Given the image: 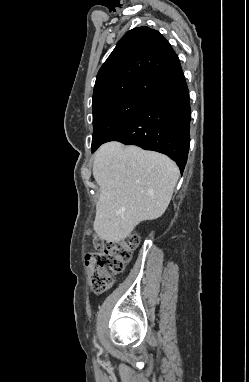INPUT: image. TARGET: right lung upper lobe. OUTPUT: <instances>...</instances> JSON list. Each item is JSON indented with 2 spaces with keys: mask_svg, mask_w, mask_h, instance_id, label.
Returning a JSON list of instances; mask_svg holds the SVG:
<instances>
[{
  "mask_svg": "<svg viewBox=\"0 0 249 382\" xmlns=\"http://www.w3.org/2000/svg\"><path fill=\"white\" fill-rule=\"evenodd\" d=\"M182 74L178 56L161 33L148 27L134 28L100 68L93 109L128 96L150 99Z\"/></svg>",
  "mask_w": 249,
  "mask_h": 382,
  "instance_id": "obj_1",
  "label": "right lung upper lobe"
}]
</instances>
